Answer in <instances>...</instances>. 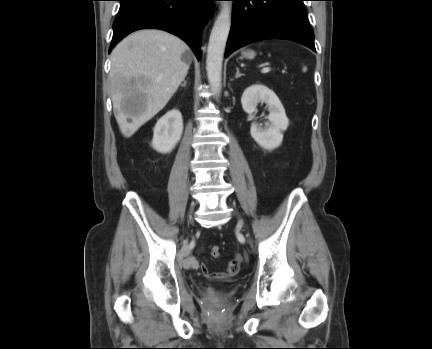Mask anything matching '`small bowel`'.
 <instances>
[{
	"label": "small bowel",
	"instance_id": "obj_1",
	"mask_svg": "<svg viewBox=\"0 0 432 349\" xmlns=\"http://www.w3.org/2000/svg\"><path fill=\"white\" fill-rule=\"evenodd\" d=\"M240 259L231 261L224 271L210 272L205 267L201 268L204 277L210 281H227L234 278L240 269Z\"/></svg>",
	"mask_w": 432,
	"mask_h": 349
}]
</instances>
